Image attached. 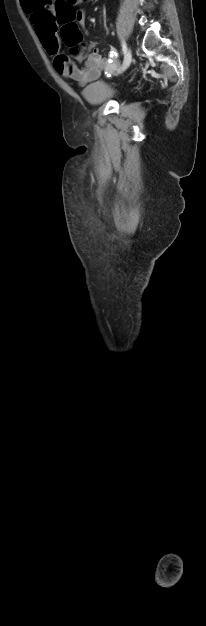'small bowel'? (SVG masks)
Wrapping results in <instances>:
<instances>
[{"label": "small bowel", "instance_id": "small-bowel-1", "mask_svg": "<svg viewBox=\"0 0 206 626\" xmlns=\"http://www.w3.org/2000/svg\"><path fill=\"white\" fill-rule=\"evenodd\" d=\"M28 13L31 16V21L43 47L50 55L54 56V68L59 75L73 80L79 85H85L96 80L102 71L112 69L117 58V52L114 48L109 49L107 57H103L99 50H93L88 56L84 67H78L59 53L57 40L58 14L50 0H43L40 10L28 9ZM74 18L80 25H83L86 19V11L79 9L74 14Z\"/></svg>", "mask_w": 206, "mask_h": 626}]
</instances>
